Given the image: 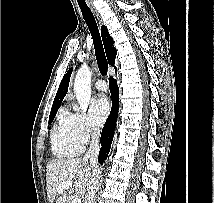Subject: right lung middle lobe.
<instances>
[{"instance_id":"dd1d6c3e","label":"right lung middle lobe","mask_w":214,"mask_h":203,"mask_svg":"<svg viewBox=\"0 0 214 203\" xmlns=\"http://www.w3.org/2000/svg\"><path fill=\"white\" fill-rule=\"evenodd\" d=\"M54 117H55V115H51V116H49V124H51V123H52V121L54 120Z\"/></svg>"}]
</instances>
